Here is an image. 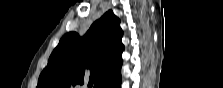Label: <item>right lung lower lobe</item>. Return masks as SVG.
<instances>
[{
    "label": "right lung lower lobe",
    "mask_w": 223,
    "mask_h": 88,
    "mask_svg": "<svg viewBox=\"0 0 223 88\" xmlns=\"http://www.w3.org/2000/svg\"><path fill=\"white\" fill-rule=\"evenodd\" d=\"M121 81L111 85L109 88H120Z\"/></svg>",
    "instance_id": "1"
}]
</instances>
